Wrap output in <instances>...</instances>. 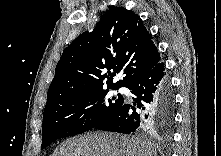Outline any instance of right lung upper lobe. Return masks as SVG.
I'll return each instance as SVG.
<instances>
[{
  "mask_svg": "<svg viewBox=\"0 0 221 156\" xmlns=\"http://www.w3.org/2000/svg\"><path fill=\"white\" fill-rule=\"evenodd\" d=\"M160 62L152 35L141 18L123 7L113 8L92 32L82 33L64 49L45 108L74 92L99 90L105 85L108 89L125 87ZM121 71L123 79L113 83Z\"/></svg>",
  "mask_w": 221,
  "mask_h": 156,
  "instance_id": "1",
  "label": "right lung upper lobe"
}]
</instances>
